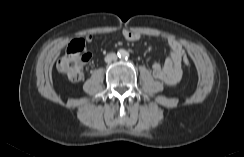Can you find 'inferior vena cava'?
<instances>
[{
	"mask_svg": "<svg viewBox=\"0 0 244 157\" xmlns=\"http://www.w3.org/2000/svg\"><path fill=\"white\" fill-rule=\"evenodd\" d=\"M117 59V55L115 53H109L105 57V62L109 63Z\"/></svg>",
	"mask_w": 244,
	"mask_h": 157,
	"instance_id": "1",
	"label": "inferior vena cava"
}]
</instances>
